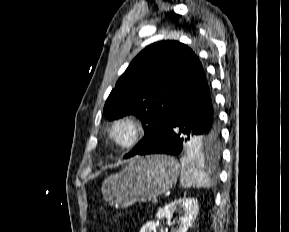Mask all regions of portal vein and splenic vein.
I'll return each mask as SVG.
<instances>
[{"label": "portal vein and splenic vein", "mask_w": 289, "mask_h": 232, "mask_svg": "<svg viewBox=\"0 0 289 232\" xmlns=\"http://www.w3.org/2000/svg\"><path fill=\"white\" fill-rule=\"evenodd\" d=\"M158 203V200L157 199H154L153 200V204H157Z\"/></svg>", "instance_id": "portal-vein-and-splenic-vein-1"}]
</instances>
